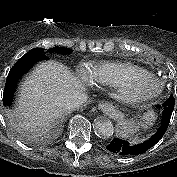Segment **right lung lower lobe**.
Segmentation results:
<instances>
[{"instance_id": "obj_1", "label": "right lung lower lobe", "mask_w": 177, "mask_h": 177, "mask_svg": "<svg viewBox=\"0 0 177 177\" xmlns=\"http://www.w3.org/2000/svg\"><path fill=\"white\" fill-rule=\"evenodd\" d=\"M49 58L45 54H29L26 53L23 57H21L15 65L11 68L5 88L3 93V102L5 105L10 106L13 100V95L15 91V87L19 78L26 73L32 65L41 60H48Z\"/></svg>"}]
</instances>
